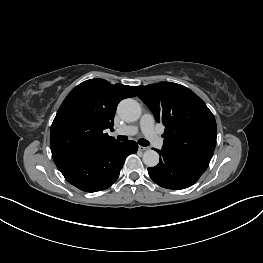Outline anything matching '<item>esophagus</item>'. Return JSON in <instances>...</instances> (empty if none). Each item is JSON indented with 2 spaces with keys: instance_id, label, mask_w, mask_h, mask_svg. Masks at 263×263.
<instances>
[{
  "instance_id": "1",
  "label": "esophagus",
  "mask_w": 263,
  "mask_h": 263,
  "mask_svg": "<svg viewBox=\"0 0 263 263\" xmlns=\"http://www.w3.org/2000/svg\"><path fill=\"white\" fill-rule=\"evenodd\" d=\"M138 150L139 151H146V150H148V147H144V146L139 145Z\"/></svg>"
}]
</instances>
